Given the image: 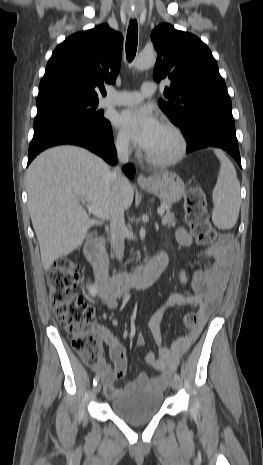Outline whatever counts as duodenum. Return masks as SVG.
Instances as JSON below:
<instances>
[{
	"mask_svg": "<svg viewBox=\"0 0 263 465\" xmlns=\"http://www.w3.org/2000/svg\"><path fill=\"white\" fill-rule=\"evenodd\" d=\"M84 253L93 267L99 290L109 297H119L129 290L141 289L153 284L168 264L167 255L161 253L139 271L110 276L103 238L89 241L85 245Z\"/></svg>",
	"mask_w": 263,
	"mask_h": 465,
	"instance_id": "410a0bca",
	"label": "duodenum"
}]
</instances>
